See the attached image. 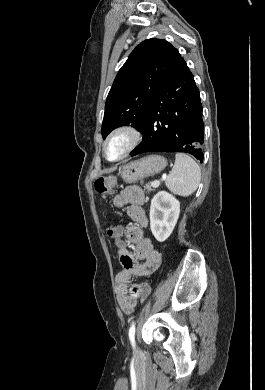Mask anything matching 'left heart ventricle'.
I'll use <instances>...</instances> for the list:
<instances>
[{"label": "left heart ventricle", "instance_id": "left-heart-ventricle-1", "mask_svg": "<svg viewBox=\"0 0 265 390\" xmlns=\"http://www.w3.org/2000/svg\"><path fill=\"white\" fill-rule=\"evenodd\" d=\"M126 139L122 136L114 138L108 146V156L110 158H116L124 149Z\"/></svg>", "mask_w": 265, "mask_h": 390}]
</instances>
